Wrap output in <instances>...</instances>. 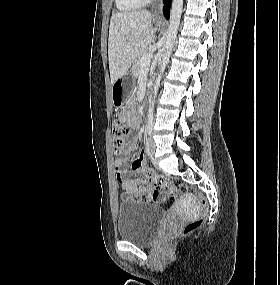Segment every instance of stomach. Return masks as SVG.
<instances>
[{"mask_svg":"<svg viewBox=\"0 0 280 285\" xmlns=\"http://www.w3.org/2000/svg\"><path fill=\"white\" fill-rule=\"evenodd\" d=\"M158 26H162L158 23ZM133 79L131 75L124 74L119 80L115 81L112 88V102L114 106H121L127 96V90L132 85Z\"/></svg>","mask_w":280,"mask_h":285,"instance_id":"obj_1","label":"stomach"}]
</instances>
